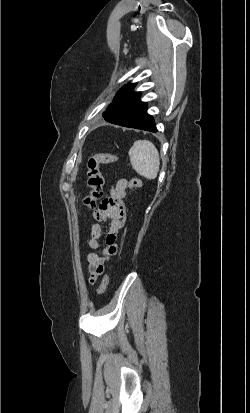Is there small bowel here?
<instances>
[{"instance_id":"small-bowel-1","label":"small bowel","mask_w":250,"mask_h":413,"mask_svg":"<svg viewBox=\"0 0 250 413\" xmlns=\"http://www.w3.org/2000/svg\"><path fill=\"white\" fill-rule=\"evenodd\" d=\"M127 181L120 179L112 187L109 195L103 198L98 209L94 213L97 222H110L109 231L106 236V246L99 253L96 250L100 248V239L103 236L102 229L98 223H94L90 228V239L87 245L93 252L87 255L89 282L94 284L99 275L105 269L106 263L116 255L118 245L116 238L122 230L125 218L126 208L123 199L126 194Z\"/></svg>"}]
</instances>
